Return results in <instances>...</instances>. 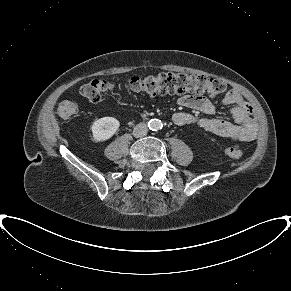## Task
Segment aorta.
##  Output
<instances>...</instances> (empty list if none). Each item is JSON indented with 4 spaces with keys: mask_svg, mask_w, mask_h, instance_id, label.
Segmentation results:
<instances>
[{
    "mask_svg": "<svg viewBox=\"0 0 291 291\" xmlns=\"http://www.w3.org/2000/svg\"><path fill=\"white\" fill-rule=\"evenodd\" d=\"M148 126L151 130L157 131V130L162 129L163 124H162L161 120H159V119H151L148 122Z\"/></svg>",
    "mask_w": 291,
    "mask_h": 291,
    "instance_id": "obj_1",
    "label": "aorta"
}]
</instances>
